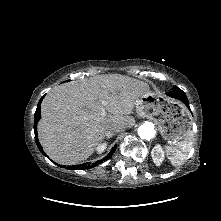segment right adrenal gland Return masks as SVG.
<instances>
[{
  "mask_svg": "<svg viewBox=\"0 0 221 221\" xmlns=\"http://www.w3.org/2000/svg\"><path fill=\"white\" fill-rule=\"evenodd\" d=\"M114 134H110V135H106V139L108 140L109 138H111Z\"/></svg>",
  "mask_w": 221,
  "mask_h": 221,
  "instance_id": "right-adrenal-gland-1",
  "label": "right adrenal gland"
}]
</instances>
